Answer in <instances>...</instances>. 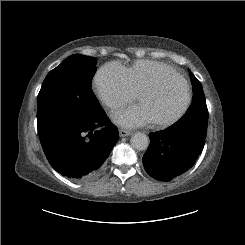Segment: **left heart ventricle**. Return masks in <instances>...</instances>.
Here are the masks:
<instances>
[{
    "instance_id": "obj_1",
    "label": "left heart ventricle",
    "mask_w": 245,
    "mask_h": 245,
    "mask_svg": "<svg viewBox=\"0 0 245 245\" xmlns=\"http://www.w3.org/2000/svg\"><path fill=\"white\" fill-rule=\"evenodd\" d=\"M157 92L145 94L139 99L151 115L153 122L169 119L176 115L186 102L185 86L174 75H167L159 82Z\"/></svg>"
}]
</instances>
